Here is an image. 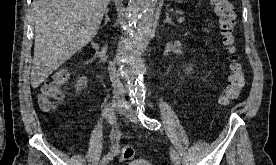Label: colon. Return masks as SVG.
<instances>
[{
	"label": "colon",
	"instance_id": "colon-1",
	"mask_svg": "<svg viewBox=\"0 0 276 165\" xmlns=\"http://www.w3.org/2000/svg\"><path fill=\"white\" fill-rule=\"evenodd\" d=\"M215 15L218 19L223 44L229 53V74L227 85L220 96V103L227 106L235 101L243 90L246 77L242 64L236 55L235 28L237 24L236 12L229 0H211ZM68 80L66 72L57 73L54 78L44 84L39 96V105L44 111L52 110L63 97L62 87ZM119 160L127 162L134 157V149L123 146L118 153Z\"/></svg>",
	"mask_w": 276,
	"mask_h": 165
}]
</instances>
